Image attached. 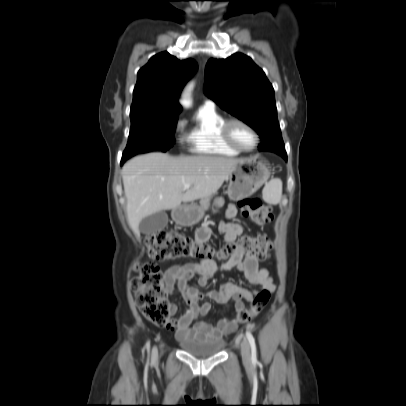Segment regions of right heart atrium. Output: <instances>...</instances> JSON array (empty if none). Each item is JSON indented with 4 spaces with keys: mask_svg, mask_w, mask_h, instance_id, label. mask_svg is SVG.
<instances>
[{
    "mask_svg": "<svg viewBox=\"0 0 406 406\" xmlns=\"http://www.w3.org/2000/svg\"><path fill=\"white\" fill-rule=\"evenodd\" d=\"M184 127H185V121H184L183 119H179V120L176 122V130H177V131H180V130H182Z\"/></svg>",
    "mask_w": 406,
    "mask_h": 406,
    "instance_id": "d8ad5b80",
    "label": "right heart atrium"
}]
</instances>
